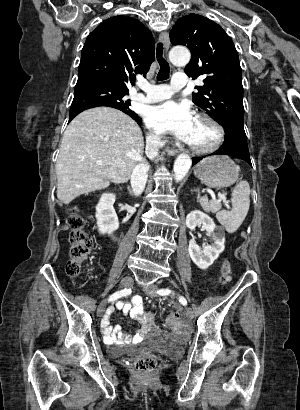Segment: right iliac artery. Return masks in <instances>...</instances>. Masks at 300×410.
I'll return each mask as SVG.
<instances>
[{
	"mask_svg": "<svg viewBox=\"0 0 300 410\" xmlns=\"http://www.w3.org/2000/svg\"><path fill=\"white\" fill-rule=\"evenodd\" d=\"M131 292V288H125L123 290L117 291L109 297L108 301L111 302L123 296H128L129 294H131Z\"/></svg>",
	"mask_w": 300,
	"mask_h": 410,
	"instance_id": "obj_1",
	"label": "right iliac artery"
}]
</instances>
